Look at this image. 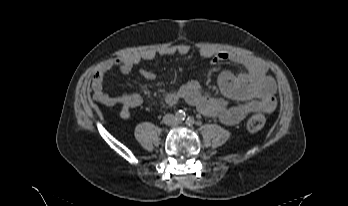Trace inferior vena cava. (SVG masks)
Wrapping results in <instances>:
<instances>
[{"label": "inferior vena cava", "instance_id": "1", "mask_svg": "<svg viewBox=\"0 0 348 206\" xmlns=\"http://www.w3.org/2000/svg\"><path fill=\"white\" fill-rule=\"evenodd\" d=\"M164 122H165L166 124L168 123V121H167L166 119L164 120Z\"/></svg>", "mask_w": 348, "mask_h": 206}]
</instances>
